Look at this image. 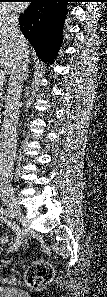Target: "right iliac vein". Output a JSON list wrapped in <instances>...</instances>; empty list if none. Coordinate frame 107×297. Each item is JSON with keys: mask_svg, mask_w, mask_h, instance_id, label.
Listing matches in <instances>:
<instances>
[{"mask_svg": "<svg viewBox=\"0 0 107 297\" xmlns=\"http://www.w3.org/2000/svg\"><path fill=\"white\" fill-rule=\"evenodd\" d=\"M6 203L8 205V208L11 212V214L13 215V217L17 220V221H22V213H21V209L17 204L16 198L13 196V194H8L5 198ZM24 237H25V233L22 232L20 233V235H18L16 242L14 243L12 249H17L20 247V245L23 243L24 241Z\"/></svg>", "mask_w": 107, "mask_h": 297, "instance_id": "obj_1", "label": "right iliac vein"}]
</instances>
